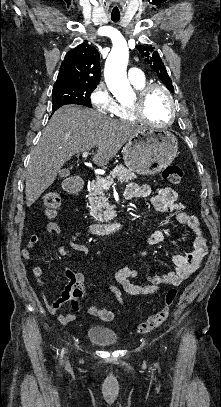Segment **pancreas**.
Returning a JSON list of instances; mask_svg holds the SVG:
<instances>
[{
	"mask_svg": "<svg viewBox=\"0 0 221 407\" xmlns=\"http://www.w3.org/2000/svg\"><path fill=\"white\" fill-rule=\"evenodd\" d=\"M117 178L120 182H129L136 179L135 173L125 168L123 165H117L106 180ZM89 215L98 222H109L112 220L114 212L105 197L104 188L98 181L92 182L88 193Z\"/></svg>",
	"mask_w": 221,
	"mask_h": 407,
	"instance_id": "cf45deb5",
	"label": "pancreas"
}]
</instances>
